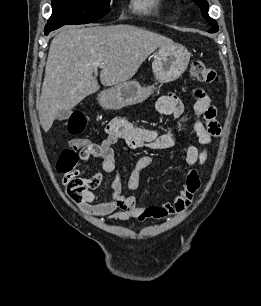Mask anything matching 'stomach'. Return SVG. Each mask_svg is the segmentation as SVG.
<instances>
[{"label":"stomach","mask_w":261,"mask_h":306,"mask_svg":"<svg viewBox=\"0 0 261 306\" xmlns=\"http://www.w3.org/2000/svg\"><path fill=\"white\" fill-rule=\"evenodd\" d=\"M189 60L190 53L181 44L159 47L152 63L155 80L159 83L175 81L187 69ZM154 89L153 85L145 87L137 81H128L104 90L99 94L98 101L105 109H120L143 102Z\"/></svg>","instance_id":"stomach-1"}]
</instances>
